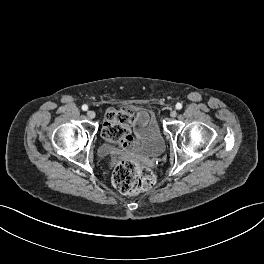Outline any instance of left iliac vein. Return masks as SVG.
<instances>
[{"instance_id": "left-iliac-vein-1", "label": "left iliac vein", "mask_w": 264, "mask_h": 264, "mask_svg": "<svg viewBox=\"0 0 264 264\" xmlns=\"http://www.w3.org/2000/svg\"><path fill=\"white\" fill-rule=\"evenodd\" d=\"M170 115H171V117H173V118H174V117H176V116H177V112L174 110V111H172V112H171V114H170Z\"/></svg>"}]
</instances>
